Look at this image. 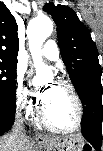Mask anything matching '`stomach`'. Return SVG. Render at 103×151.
Segmentation results:
<instances>
[{"label":"stomach","mask_w":103,"mask_h":151,"mask_svg":"<svg viewBox=\"0 0 103 151\" xmlns=\"http://www.w3.org/2000/svg\"><path fill=\"white\" fill-rule=\"evenodd\" d=\"M41 145L47 151H84L86 144L79 136L53 137L44 140Z\"/></svg>","instance_id":"0dacf381"}]
</instances>
